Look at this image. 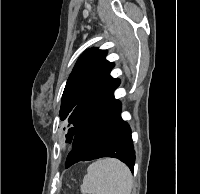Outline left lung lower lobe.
I'll use <instances>...</instances> for the list:
<instances>
[{
	"mask_svg": "<svg viewBox=\"0 0 201 194\" xmlns=\"http://www.w3.org/2000/svg\"><path fill=\"white\" fill-rule=\"evenodd\" d=\"M121 103L114 97L91 116L70 138L73 149L67 157L66 169L71 165L101 157H114L133 172L135 151L129 125L120 116Z\"/></svg>",
	"mask_w": 201,
	"mask_h": 194,
	"instance_id": "left-lung-lower-lobe-1",
	"label": "left lung lower lobe"
}]
</instances>
